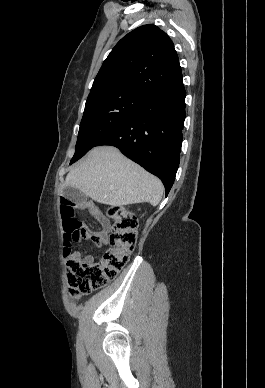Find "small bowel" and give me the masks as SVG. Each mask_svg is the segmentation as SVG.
Masks as SVG:
<instances>
[{"mask_svg":"<svg viewBox=\"0 0 265 388\" xmlns=\"http://www.w3.org/2000/svg\"><path fill=\"white\" fill-rule=\"evenodd\" d=\"M82 208L86 209L90 215L96 219L100 225L102 226L101 231L97 232H88V240L94 242L98 247H104L108 242V233L111 229V224L109 220L104 216V214L101 212L98 206H96L93 203H87L81 206ZM73 256L86 262V263H93L94 257L92 255H87L84 258H80L79 253H73Z\"/></svg>","mask_w":265,"mask_h":388,"instance_id":"small-bowel-1","label":"small bowel"}]
</instances>
